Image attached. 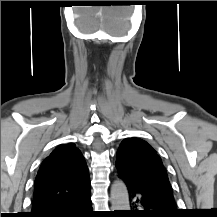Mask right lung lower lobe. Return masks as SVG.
<instances>
[{
    "label": "right lung lower lobe",
    "instance_id": "right-lung-lower-lobe-1",
    "mask_svg": "<svg viewBox=\"0 0 217 217\" xmlns=\"http://www.w3.org/2000/svg\"><path fill=\"white\" fill-rule=\"evenodd\" d=\"M90 192L82 197L64 200L29 217H94Z\"/></svg>",
    "mask_w": 217,
    "mask_h": 217
}]
</instances>
